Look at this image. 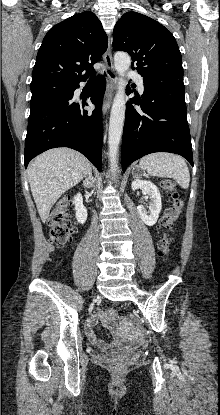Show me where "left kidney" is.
<instances>
[{"mask_svg":"<svg viewBox=\"0 0 220 415\" xmlns=\"http://www.w3.org/2000/svg\"><path fill=\"white\" fill-rule=\"evenodd\" d=\"M132 190L140 189L143 194L150 196L149 212H146L144 206H138L137 210L140 218L147 226H153L159 217L162 203L159 189L151 181L135 179L132 182Z\"/></svg>","mask_w":220,"mask_h":415,"instance_id":"left-kidney-1","label":"left kidney"}]
</instances>
